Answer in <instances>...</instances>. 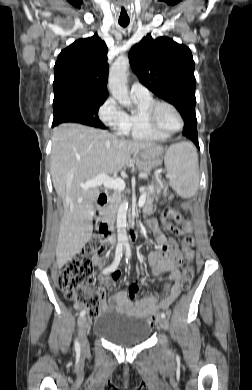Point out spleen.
<instances>
[{"mask_svg": "<svg viewBox=\"0 0 252 390\" xmlns=\"http://www.w3.org/2000/svg\"><path fill=\"white\" fill-rule=\"evenodd\" d=\"M169 185L182 198H191L199 186L198 155L188 142L172 145L164 158Z\"/></svg>", "mask_w": 252, "mask_h": 390, "instance_id": "1", "label": "spleen"}]
</instances>
